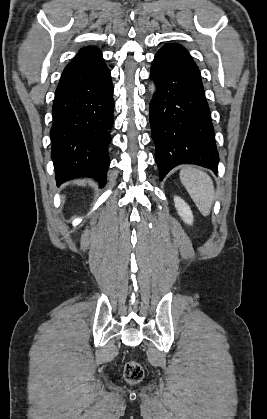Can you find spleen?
Masks as SVG:
<instances>
[{"label":"spleen","mask_w":267,"mask_h":419,"mask_svg":"<svg viewBox=\"0 0 267 419\" xmlns=\"http://www.w3.org/2000/svg\"><path fill=\"white\" fill-rule=\"evenodd\" d=\"M180 180L201 214L208 216L214 201L212 179L197 168L184 166L180 171Z\"/></svg>","instance_id":"spleen-1"}]
</instances>
